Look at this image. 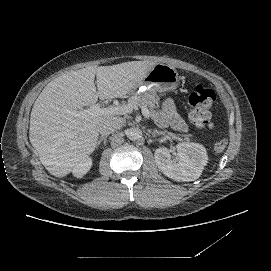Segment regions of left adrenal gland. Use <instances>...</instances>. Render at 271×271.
<instances>
[{
  "label": "left adrenal gland",
  "mask_w": 271,
  "mask_h": 271,
  "mask_svg": "<svg viewBox=\"0 0 271 271\" xmlns=\"http://www.w3.org/2000/svg\"><path fill=\"white\" fill-rule=\"evenodd\" d=\"M156 134H157V135H161V134H163V132L158 131V130H154V131L152 132V136L155 137Z\"/></svg>",
  "instance_id": "1"
}]
</instances>
